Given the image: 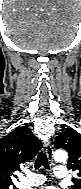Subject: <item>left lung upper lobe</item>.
<instances>
[{
  "label": "left lung upper lobe",
  "mask_w": 81,
  "mask_h": 189,
  "mask_svg": "<svg viewBox=\"0 0 81 189\" xmlns=\"http://www.w3.org/2000/svg\"><path fill=\"white\" fill-rule=\"evenodd\" d=\"M55 148L69 153L68 169L79 170L78 178L73 179V189H81V134L70 128L59 133L54 142Z\"/></svg>",
  "instance_id": "obj_1"
}]
</instances>
